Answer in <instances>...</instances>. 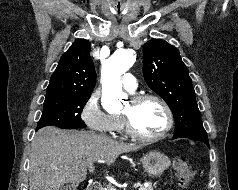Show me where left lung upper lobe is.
<instances>
[{
  "label": "left lung upper lobe",
  "mask_w": 238,
  "mask_h": 190,
  "mask_svg": "<svg viewBox=\"0 0 238 190\" xmlns=\"http://www.w3.org/2000/svg\"><path fill=\"white\" fill-rule=\"evenodd\" d=\"M143 75L148 86L172 110L175 135L207 138L192 80L174 46L161 39L146 42L143 48Z\"/></svg>",
  "instance_id": "5c2ea615"
}]
</instances>
